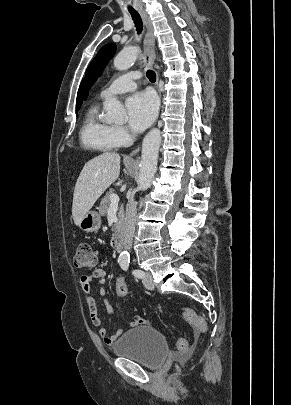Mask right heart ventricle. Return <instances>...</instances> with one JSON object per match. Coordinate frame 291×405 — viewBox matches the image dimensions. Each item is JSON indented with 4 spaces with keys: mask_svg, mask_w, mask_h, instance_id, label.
I'll return each mask as SVG.
<instances>
[{
    "mask_svg": "<svg viewBox=\"0 0 291 405\" xmlns=\"http://www.w3.org/2000/svg\"><path fill=\"white\" fill-rule=\"evenodd\" d=\"M83 145L100 152H107L119 146L114 138V126L105 121L98 104L87 110L80 130Z\"/></svg>",
    "mask_w": 291,
    "mask_h": 405,
    "instance_id": "1",
    "label": "right heart ventricle"
}]
</instances>
